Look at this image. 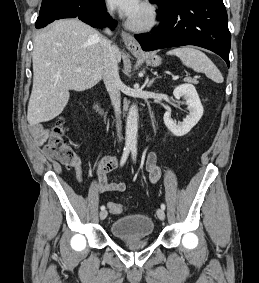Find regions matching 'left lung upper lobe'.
Listing matches in <instances>:
<instances>
[{
	"label": "left lung upper lobe",
	"mask_w": 259,
	"mask_h": 283,
	"mask_svg": "<svg viewBox=\"0 0 259 283\" xmlns=\"http://www.w3.org/2000/svg\"><path fill=\"white\" fill-rule=\"evenodd\" d=\"M157 2L161 9L174 7L181 0H151Z\"/></svg>",
	"instance_id": "1"
}]
</instances>
